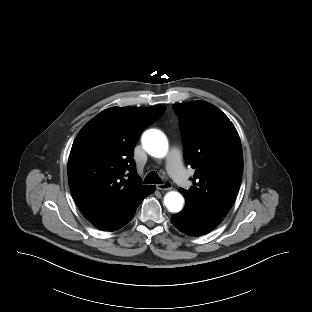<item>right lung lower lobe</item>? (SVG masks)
<instances>
[{
	"mask_svg": "<svg viewBox=\"0 0 312 312\" xmlns=\"http://www.w3.org/2000/svg\"><path fill=\"white\" fill-rule=\"evenodd\" d=\"M153 191H154V186H148V187L144 190V192H143V194H142V196H141V199H140L139 202L135 205V207L132 209V211L129 213V215H128L118 226H116L115 228H113V229L110 230V231H115V230L121 228L122 226L126 225V224L132 219V217H133V215H134V213H135L137 207H138L139 204L141 203V201H142L147 195L151 194Z\"/></svg>",
	"mask_w": 312,
	"mask_h": 312,
	"instance_id": "98d812e1",
	"label": "right lung lower lobe"
}]
</instances>
